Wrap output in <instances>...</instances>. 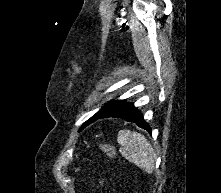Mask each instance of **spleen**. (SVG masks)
<instances>
[{
	"label": "spleen",
	"mask_w": 221,
	"mask_h": 193,
	"mask_svg": "<svg viewBox=\"0 0 221 193\" xmlns=\"http://www.w3.org/2000/svg\"><path fill=\"white\" fill-rule=\"evenodd\" d=\"M117 141L120 153L129 162L134 163L148 173L155 168V154L151 144L140 133L121 130L118 133Z\"/></svg>",
	"instance_id": "spleen-1"
}]
</instances>
